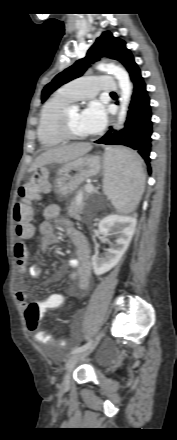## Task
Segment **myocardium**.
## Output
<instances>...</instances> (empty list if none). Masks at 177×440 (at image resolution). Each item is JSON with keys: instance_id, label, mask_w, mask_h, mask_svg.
Segmentation results:
<instances>
[{"instance_id": "f54148a6", "label": "myocardium", "mask_w": 177, "mask_h": 440, "mask_svg": "<svg viewBox=\"0 0 177 440\" xmlns=\"http://www.w3.org/2000/svg\"><path fill=\"white\" fill-rule=\"evenodd\" d=\"M70 107H65L58 120V131L64 141H78L86 139L87 135L75 134L70 128L69 112Z\"/></svg>"}]
</instances>
